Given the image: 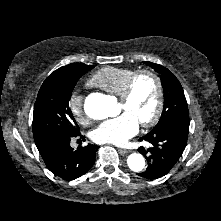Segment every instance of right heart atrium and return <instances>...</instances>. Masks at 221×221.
<instances>
[{
  "label": "right heart atrium",
  "mask_w": 221,
  "mask_h": 221,
  "mask_svg": "<svg viewBox=\"0 0 221 221\" xmlns=\"http://www.w3.org/2000/svg\"><path fill=\"white\" fill-rule=\"evenodd\" d=\"M68 107L78 123L85 125L89 122V115L84 109V98L80 94L79 90L74 89L70 93L68 98Z\"/></svg>",
  "instance_id": "right-heart-atrium-1"
}]
</instances>
